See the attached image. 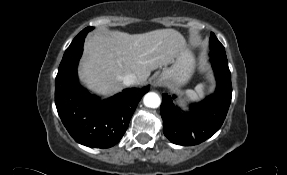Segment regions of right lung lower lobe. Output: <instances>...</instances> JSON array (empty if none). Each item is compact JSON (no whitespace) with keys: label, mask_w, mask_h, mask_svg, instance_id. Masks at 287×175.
Masks as SVG:
<instances>
[{"label":"right lung lower lobe","mask_w":287,"mask_h":175,"mask_svg":"<svg viewBox=\"0 0 287 175\" xmlns=\"http://www.w3.org/2000/svg\"><path fill=\"white\" fill-rule=\"evenodd\" d=\"M86 34L81 31L64 53L55 80V104L62 123L75 141L92 148H109L124 135L148 87L125 89L102 101L80 87L77 65Z\"/></svg>","instance_id":"right-lung-lower-lobe-1"}]
</instances>
